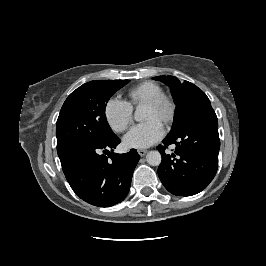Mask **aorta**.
I'll return each instance as SVG.
<instances>
[{"label":"aorta","instance_id":"aorta-1","mask_svg":"<svg viewBox=\"0 0 266 266\" xmlns=\"http://www.w3.org/2000/svg\"><path fill=\"white\" fill-rule=\"evenodd\" d=\"M136 121H142L144 119V112L142 107L138 106L134 113ZM161 154L158 151H149L146 155V161L151 166H158L161 163Z\"/></svg>","mask_w":266,"mask_h":266}]
</instances>
